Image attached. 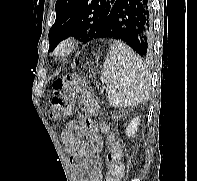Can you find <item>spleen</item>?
Listing matches in <instances>:
<instances>
[{"mask_svg":"<svg viewBox=\"0 0 197 181\" xmlns=\"http://www.w3.org/2000/svg\"><path fill=\"white\" fill-rule=\"evenodd\" d=\"M110 105L135 106L150 97L149 70L136 53L121 41H114L100 76Z\"/></svg>","mask_w":197,"mask_h":181,"instance_id":"spleen-1","label":"spleen"}]
</instances>
